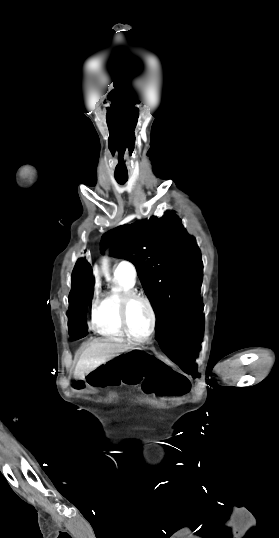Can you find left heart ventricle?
<instances>
[{"mask_svg":"<svg viewBox=\"0 0 279 538\" xmlns=\"http://www.w3.org/2000/svg\"><path fill=\"white\" fill-rule=\"evenodd\" d=\"M101 210L112 211L115 207H98ZM98 222L104 219L98 217ZM86 228H91L87 226ZM127 321L131 333L137 337H145L151 327V315L147 306L143 302H134L127 312Z\"/></svg>","mask_w":279,"mask_h":538,"instance_id":"left-heart-ventricle-1","label":"left heart ventricle"}]
</instances>
